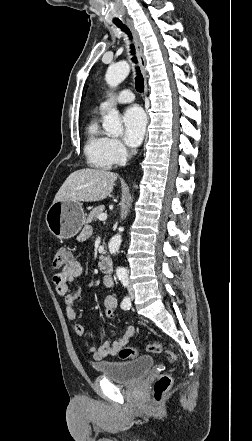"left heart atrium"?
Returning a JSON list of instances; mask_svg holds the SVG:
<instances>
[{"mask_svg":"<svg viewBox=\"0 0 252 441\" xmlns=\"http://www.w3.org/2000/svg\"><path fill=\"white\" fill-rule=\"evenodd\" d=\"M146 116L141 107L133 105L123 114L124 141L131 147H137L145 134Z\"/></svg>","mask_w":252,"mask_h":441,"instance_id":"left-heart-atrium-1","label":"left heart atrium"}]
</instances>
